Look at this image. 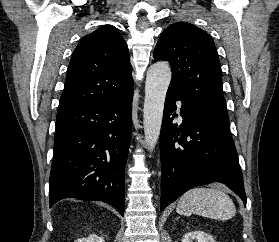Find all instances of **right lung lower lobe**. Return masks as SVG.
Segmentation results:
<instances>
[{"label": "right lung lower lobe", "instance_id": "obj_1", "mask_svg": "<svg viewBox=\"0 0 279 242\" xmlns=\"http://www.w3.org/2000/svg\"><path fill=\"white\" fill-rule=\"evenodd\" d=\"M133 89L97 104L57 112L50 207L64 198L104 201L124 215V169Z\"/></svg>", "mask_w": 279, "mask_h": 242}]
</instances>
